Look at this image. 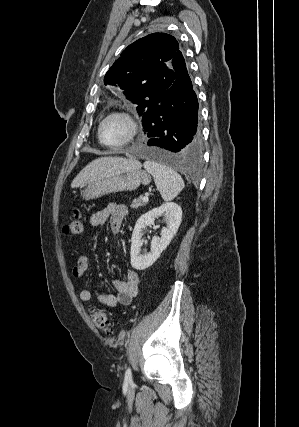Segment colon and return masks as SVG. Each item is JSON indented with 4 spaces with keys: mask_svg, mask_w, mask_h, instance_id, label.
<instances>
[{
    "mask_svg": "<svg viewBox=\"0 0 299 427\" xmlns=\"http://www.w3.org/2000/svg\"><path fill=\"white\" fill-rule=\"evenodd\" d=\"M83 230V218L80 210L75 209L72 220L64 226L63 231L69 235H79ZM92 320L95 326L104 334H111V325L107 315L99 310H92Z\"/></svg>",
    "mask_w": 299,
    "mask_h": 427,
    "instance_id": "5ec220e1",
    "label": "colon"
}]
</instances>
